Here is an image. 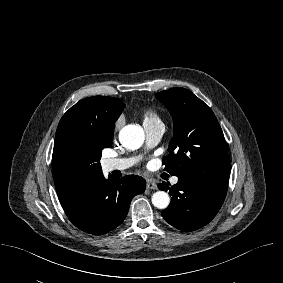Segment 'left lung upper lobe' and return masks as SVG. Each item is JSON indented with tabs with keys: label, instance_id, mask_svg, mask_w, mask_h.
I'll return each instance as SVG.
<instances>
[{
	"label": "left lung upper lobe",
	"instance_id": "obj_1",
	"mask_svg": "<svg viewBox=\"0 0 283 283\" xmlns=\"http://www.w3.org/2000/svg\"><path fill=\"white\" fill-rule=\"evenodd\" d=\"M173 116L174 133L165 170L209 184L227 186L229 159L218 120L210 107L184 88L156 94Z\"/></svg>",
	"mask_w": 283,
	"mask_h": 283
}]
</instances>
